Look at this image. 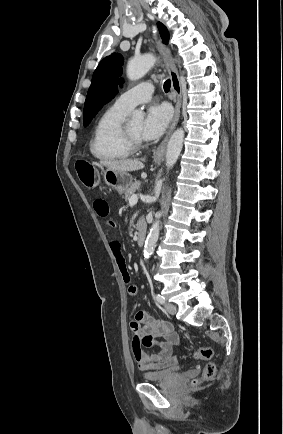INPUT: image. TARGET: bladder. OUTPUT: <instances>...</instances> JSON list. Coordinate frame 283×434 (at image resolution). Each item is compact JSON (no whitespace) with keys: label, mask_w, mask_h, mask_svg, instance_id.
Instances as JSON below:
<instances>
[{"label":"bladder","mask_w":283,"mask_h":434,"mask_svg":"<svg viewBox=\"0 0 283 434\" xmlns=\"http://www.w3.org/2000/svg\"><path fill=\"white\" fill-rule=\"evenodd\" d=\"M178 369L168 368L164 370H149L143 373L145 381H164L176 376Z\"/></svg>","instance_id":"obj_1"}]
</instances>
